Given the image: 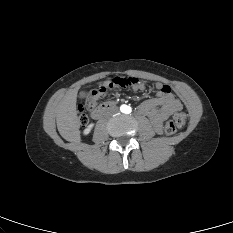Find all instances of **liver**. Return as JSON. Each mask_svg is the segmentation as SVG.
Wrapping results in <instances>:
<instances>
[{
    "instance_id": "1",
    "label": "liver",
    "mask_w": 233,
    "mask_h": 233,
    "mask_svg": "<svg viewBox=\"0 0 233 233\" xmlns=\"http://www.w3.org/2000/svg\"><path fill=\"white\" fill-rule=\"evenodd\" d=\"M77 89L69 90L57 106L56 123L60 135L67 141L79 136L80 120L76 111Z\"/></svg>"
}]
</instances>
